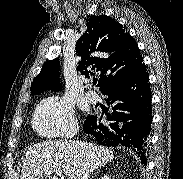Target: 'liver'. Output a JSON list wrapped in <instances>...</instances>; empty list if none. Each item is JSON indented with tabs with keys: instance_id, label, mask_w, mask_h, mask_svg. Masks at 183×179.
Listing matches in <instances>:
<instances>
[{
	"instance_id": "1",
	"label": "liver",
	"mask_w": 183,
	"mask_h": 179,
	"mask_svg": "<svg viewBox=\"0 0 183 179\" xmlns=\"http://www.w3.org/2000/svg\"><path fill=\"white\" fill-rule=\"evenodd\" d=\"M113 158L111 150L84 141L42 142L27 149L20 179H42L46 171L54 169L63 171L70 179H88L91 172Z\"/></svg>"
}]
</instances>
